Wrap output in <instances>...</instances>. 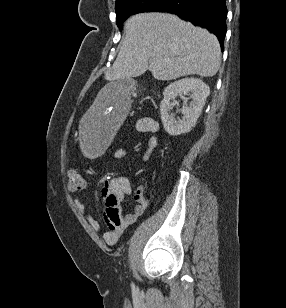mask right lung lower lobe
<instances>
[{
  "label": "right lung lower lobe",
  "mask_w": 286,
  "mask_h": 308,
  "mask_svg": "<svg viewBox=\"0 0 286 308\" xmlns=\"http://www.w3.org/2000/svg\"><path fill=\"white\" fill-rule=\"evenodd\" d=\"M226 0H168L153 12H168L214 33L224 49L226 35Z\"/></svg>",
  "instance_id": "right-lung-lower-lobe-1"
}]
</instances>
